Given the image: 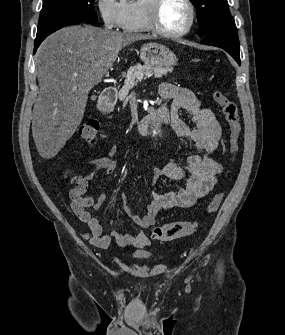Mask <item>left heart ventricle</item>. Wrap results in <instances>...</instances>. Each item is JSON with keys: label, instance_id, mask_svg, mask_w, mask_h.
Returning <instances> with one entry per match:
<instances>
[{"label": "left heart ventricle", "instance_id": "left-heart-ventricle-1", "mask_svg": "<svg viewBox=\"0 0 285 335\" xmlns=\"http://www.w3.org/2000/svg\"><path fill=\"white\" fill-rule=\"evenodd\" d=\"M163 25L171 31L183 28L189 20L188 8L179 1H168L164 4L161 13Z\"/></svg>", "mask_w": 285, "mask_h": 335}]
</instances>
